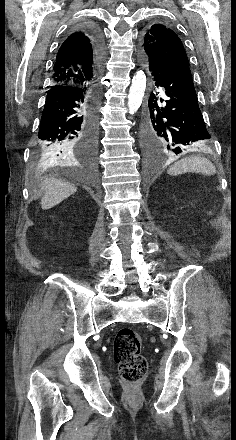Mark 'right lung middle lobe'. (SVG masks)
<instances>
[{"instance_id":"1","label":"right lung middle lobe","mask_w":236,"mask_h":440,"mask_svg":"<svg viewBox=\"0 0 236 440\" xmlns=\"http://www.w3.org/2000/svg\"><path fill=\"white\" fill-rule=\"evenodd\" d=\"M34 161L36 163H42V162L46 161V158H45V156L43 154L36 153L35 156H34Z\"/></svg>"}]
</instances>
